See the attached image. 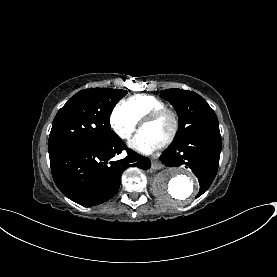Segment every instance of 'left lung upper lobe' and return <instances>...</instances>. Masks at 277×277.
Masks as SVG:
<instances>
[{"label": "left lung upper lobe", "instance_id": "left-lung-upper-lobe-1", "mask_svg": "<svg viewBox=\"0 0 277 277\" xmlns=\"http://www.w3.org/2000/svg\"><path fill=\"white\" fill-rule=\"evenodd\" d=\"M160 97L168 100L179 117V131L175 142L206 132H220L217 116L197 93L182 89H167Z\"/></svg>", "mask_w": 277, "mask_h": 277}]
</instances>
